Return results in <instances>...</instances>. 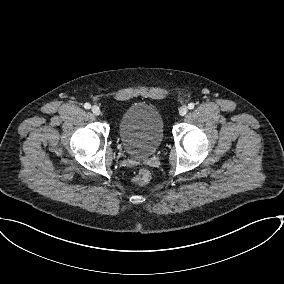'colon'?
<instances>
[{
  "mask_svg": "<svg viewBox=\"0 0 284 284\" xmlns=\"http://www.w3.org/2000/svg\"><path fill=\"white\" fill-rule=\"evenodd\" d=\"M150 178H151L150 172L147 169L142 168L134 176L133 181L136 184L144 185L149 182Z\"/></svg>",
  "mask_w": 284,
  "mask_h": 284,
  "instance_id": "colon-1",
  "label": "colon"
}]
</instances>
